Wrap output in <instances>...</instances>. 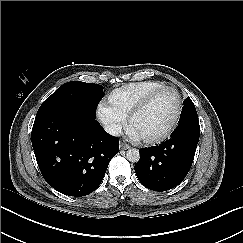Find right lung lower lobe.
Returning a JSON list of instances; mask_svg holds the SVG:
<instances>
[{
	"mask_svg": "<svg viewBox=\"0 0 243 243\" xmlns=\"http://www.w3.org/2000/svg\"><path fill=\"white\" fill-rule=\"evenodd\" d=\"M32 146L46 182L68 196L81 197L102 182L119 139L107 134L81 106L60 103L38 110Z\"/></svg>",
	"mask_w": 243,
	"mask_h": 243,
	"instance_id": "98d812e1",
	"label": "right lung lower lobe"
}]
</instances>
